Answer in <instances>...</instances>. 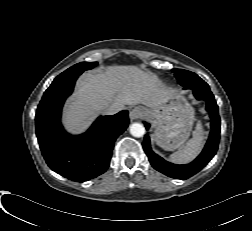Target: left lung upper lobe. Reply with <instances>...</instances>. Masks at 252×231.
Here are the masks:
<instances>
[{
	"label": "left lung upper lobe",
	"mask_w": 252,
	"mask_h": 231,
	"mask_svg": "<svg viewBox=\"0 0 252 231\" xmlns=\"http://www.w3.org/2000/svg\"><path fill=\"white\" fill-rule=\"evenodd\" d=\"M172 72L175 74V77L178 80V83L182 86L189 84H200L204 81L195 73L183 70V69H172Z\"/></svg>",
	"instance_id": "1"
}]
</instances>
